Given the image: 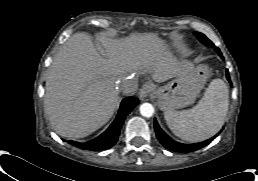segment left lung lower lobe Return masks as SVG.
Wrapping results in <instances>:
<instances>
[{"instance_id": "obj_1", "label": "left lung lower lobe", "mask_w": 258, "mask_h": 181, "mask_svg": "<svg viewBox=\"0 0 258 181\" xmlns=\"http://www.w3.org/2000/svg\"><path fill=\"white\" fill-rule=\"evenodd\" d=\"M226 77H227L228 81H230L228 70H226ZM154 129L156 132V136H157L158 140L162 143V145L165 148L172 150L174 152H190V151L198 150V149L208 145L217 136V135H215L214 137H212L206 141L196 143V144H182V143H178V142L172 140L170 137H168L163 132V130L159 127L156 119L154 120Z\"/></svg>"}]
</instances>
